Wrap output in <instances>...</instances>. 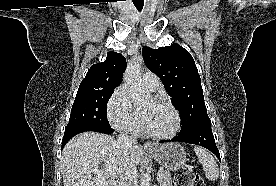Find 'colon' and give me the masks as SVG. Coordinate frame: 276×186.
Segmentation results:
<instances>
[{
	"label": "colon",
	"mask_w": 276,
	"mask_h": 186,
	"mask_svg": "<svg viewBox=\"0 0 276 186\" xmlns=\"http://www.w3.org/2000/svg\"><path fill=\"white\" fill-rule=\"evenodd\" d=\"M174 186H205V183L197 174L180 171L175 174Z\"/></svg>",
	"instance_id": "5ec220e1"
}]
</instances>
